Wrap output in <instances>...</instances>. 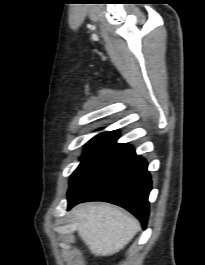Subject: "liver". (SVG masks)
<instances>
[{"mask_svg":"<svg viewBox=\"0 0 205 265\" xmlns=\"http://www.w3.org/2000/svg\"><path fill=\"white\" fill-rule=\"evenodd\" d=\"M78 234L96 256L122 250L140 230L138 220L107 204H82L73 209Z\"/></svg>","mask_w":205,"mask_h":265,"instance_id":"obj_1","label":"liver"}]
</instances>
